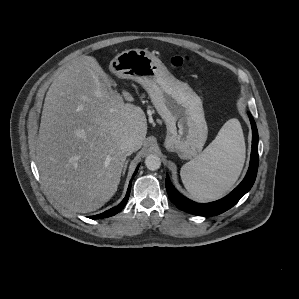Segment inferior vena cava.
<instances>
[{
    "mask_svg": "<svg viewBox=\"0 0 299 299\" xmlns=\"http://www.w3.org/2000/svg\"><path fill=\"white\" fill-rule=\"evenodd\" d=\"M119 147L120 150L128 156L136 150V143L133 140H124L120 143Z\"/></svg>",
    "mask_w": 299,
    "mask_h": 299,
    "instance_id": "1",
    "label": "inferior vena cava"
}]
</instances>
